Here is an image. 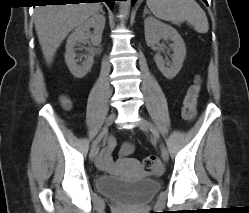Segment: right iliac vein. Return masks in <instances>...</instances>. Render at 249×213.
Returning <instances> with one entry per match:
<instances>
[{
	"label": "right iliac vein",
	"mask_w": 249,
	"mask_h": 213,
	"mask_svg": "<svg viewBox=\"0 0 249 213\" xmlns=\"http://www.w3.org/2000/svg\"><path fill=\"white\" fill-rule=\"evenodd\" d=\"M115 113H111L107 118H106V121H105V127L107 129V127H109L115 120ZM98 151H99V146L98 144L95 145L91 151H90V154H89V157H90V160L91 161H94L97 157V154H98Z\"/></svg>",
	"instance_id": "1"
}]
</instances>
